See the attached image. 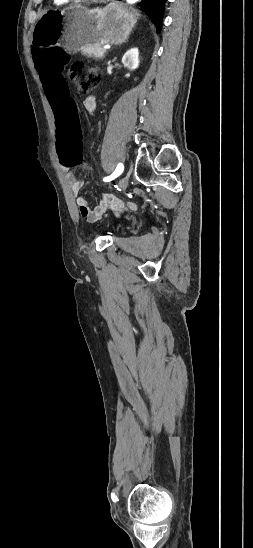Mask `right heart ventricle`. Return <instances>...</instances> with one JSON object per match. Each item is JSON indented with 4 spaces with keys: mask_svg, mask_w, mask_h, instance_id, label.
Wrapping results in <instances>:
<instances>
[{
    "mask_svg": "<svg viewBox=\"0 0 253 548\" xmlns=\"http://www.w3.org/2000/svg\"><path fill=\"white\" fill-rule=\"evenodd\" d=\"M57 5H63L69 2V0H53Z\"/></svg>",
    "mask_w": 253,
    "mask_h": 548,
    "instance_id": "right-heart-ventricle-1",
    "label": "right heart ventricle"
}]
</instances>
